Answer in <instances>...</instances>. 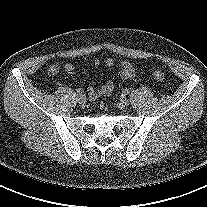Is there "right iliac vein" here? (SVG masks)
<instances>
[{
    "instance_id": "1",
    "label": "right iliac vein",
    "mask_w": 207,
    "mask_h": 207,
    "mask_svg": "<svg viewBox=\"0 0 207 207\" xmlns=\"http://www.w3.org/2000/svg\"><path fill=\"white\" fill-rule=\"evenodd\" d=\"M77 101L79 102L80 105H84L86 102V98L83 95H78L77 96Z\"/></svg>"
}]
</instances>
